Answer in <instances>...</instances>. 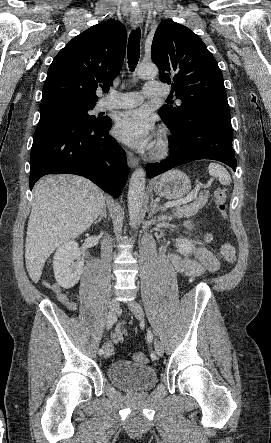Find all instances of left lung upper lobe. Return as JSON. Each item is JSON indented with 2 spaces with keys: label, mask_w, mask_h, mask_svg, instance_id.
I'll list each match as a JSON object with an SVG mask.
<instances>
[{
  "label": "left lung upper lobe",
  "mask_w": 271,
  "mask_h": 443,
  "mask_svg": "<svg viewBox=\"0 0 271 443\" xmlns=\"http://www.w3.org/2000/svg\"><path fill=\"white\" fill-rule=\"evenodd\" d=\"M152 61L162 82L171 84L180 106L165 105L159 114L166 123L183 121L204 106L229 110L221 70L204 42L189 28L162 21L152 41Z\"/></svg>",
  "instance_id": "left-lung-upper-lobe-1"
}]
</instances>
